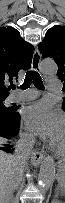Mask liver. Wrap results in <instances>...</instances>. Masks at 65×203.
I'll list each match as a JSON object with an SVG mask.
<instances>
[{"mask_svg":"<svg viewBox=\"0 0 65 203\" xmlns=\"http://www.w3.org/2000/svg\"><path fill=\"white\" fill-rule=\"evenodd\" d=\"M1 139V143H5ZM17 160L15 155L0 152V200L10 196L12 182L16 175ZM12 195V194H11Z\"/></svg>","mask_w":65,"mask_h":203,"instance_id":"1","label":"liver"}]
</instances>
